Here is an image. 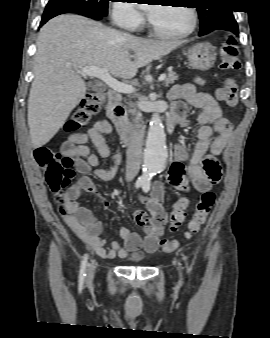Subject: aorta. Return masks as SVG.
Returning <instances> with one entry per match:
<instances>
[{"label":"aorta","mask_w":270,"mask_h":338,"mask_svg":"<svg viewBox=\"0 0 270 338\" xmlns=\"http://www.w3.org/2000/svg\"><path fill=\"white\" fill-rule=\"evenodd\" d=\"M167 163L165 132L161 116L158 112L152 115L144 152L143 178L164 170Z\"/></svg>","instance_id":"762f6f07"}]
</instances>
